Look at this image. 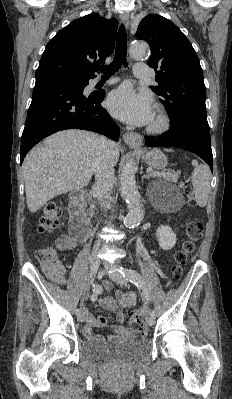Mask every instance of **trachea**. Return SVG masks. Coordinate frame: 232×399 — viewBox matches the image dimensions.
<instances>
[{
    "label": "trachea",
    "instance_id": "trachea-1",
    "mask_svg": "<svg viewBox=\"0 0 232 399\" xmlns=\"http://www.w3.org/2000/svg\"><path fill=\"white\" fill-rule=\"evenodd\" d=\"M127 36L124 24L119 27L117 42L115 48V55L113 62L110 65H102L98 70L103 74L102 77H111L114 75L121 65L127 66Z\"/></svg>",
    "mask_w": 232,
    "mask_h": 399
}]
</instances>
